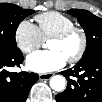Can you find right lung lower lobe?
Segmentation results:
<instances>
[{
  "label": "right lung lower lobe",
  "mask_w": 102,
  "mask_h": 102,
  "mask_svg": "<svg viewBox=\"0 0 102 102\" xmlns=\"http://www.w3.org/2000/svg\"><path fill=\"white\" fill-rule=\"evenodd\" d=\"M24 60L20 50L0 51V101L25 102L31 86L39 79L35 73L8 72L6 67L20 66Z\"/></svg>",
  "instance_id": "obj_1"
}]
</instances>
